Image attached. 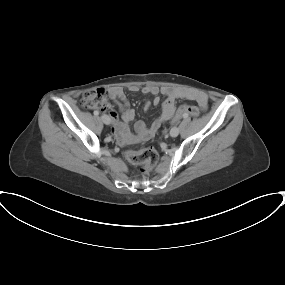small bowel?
Here are the masks:
<instances>
[{"mask_svg":"<svg viewBox=\"0 0 285 285\" xmlns=\"http://www.w3.org/2000/svg\"><path fill=\"white\" fill-rule=\"evenodd\" d=\"M139 88L137 86H131L130 91L137 92ZM144 94L153 95V105L160 103L159 94L165 95V100L162 104L160 115L153 121V123L147 126L143 121H137L133 125L135 133L131 130V124L135 118V111L130 107V103L126 97L124 90L121 87H112L109 89L110 98L115 102L121 112V119H119L115 111L110 112L114 129L113 132L116 135L118 141L122 144H133L139 141H146L152 138L162 124L170 120L175 112V104L178 98H184L191 101H195L202 110H205L208 106L207 96L202 92L195 91H179L169 87L159 88L155 85H147L142 88ZM151 106L150 102L144 104V109L148 110Z\"/></svg>","mask_w":285,"mask_h":285,"instance_id":"1","label":"small bowel"}]
</instances>
